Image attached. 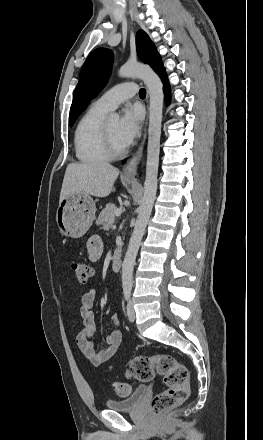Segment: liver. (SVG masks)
I'll use <instances>...</instances> for the list:
<instances>
[{"label": "liver", "mask_w": 263, "mask_h": 440, "mask_svg": "<svg viewBox=\"0 0 263 440\" xmlns=\"http://www.w3.org/2000/svg\"><path fill=\"white\" fill-rule=\"evenodd\" d=\"M119 169L106 162L70 163L65 171L60 201L74 193L106 197L113 187Z\"/></svg>", "instance_id": "obj_1"}]
</instances>
